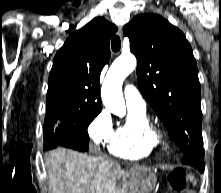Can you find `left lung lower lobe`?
<instances>
[{
  "instance_id": "obj_1",
  "label": "left lung lower lobe",
  "mask_w": 221,
  "mask_h": 193,
  "mask_svg": "<svg viewBox=\"0 0 221 193\" xmlns=\"http://www.w3.org/2000/svg\"><path fill=\"white\" fill-rule=\"evenodd\" d=\"M182 163L193 166L198 169L201 173L204 171V149L203 147L183 154Z\"/></svg>"
}]
</instances>
